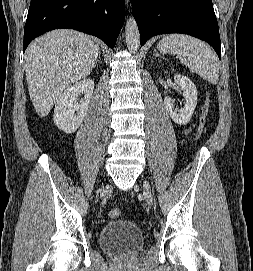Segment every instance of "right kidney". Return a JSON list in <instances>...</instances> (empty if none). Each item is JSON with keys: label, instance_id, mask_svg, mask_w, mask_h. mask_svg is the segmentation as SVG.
I'll return each mask as SVG.
<instances>
[{"label": "right kidney", "instance_id": "right-kidney-1", "mask_svg": "<svg viewBox=\"0 0 253 271\" xmlns=\"http://www.w3.org/2000/svg\"><path fill=\"white\" fill-rule=\"evenodd\" d=\"M94 81L84 79L70 86L57 100L54 109V123L67 134L75 132L82 123L92 98ZM84 99L78 102L79 94Z\"/></svg>", "mask_w": 253, "mask_h": 271}]
</instances>
